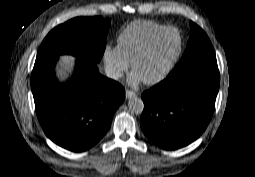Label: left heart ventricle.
<instances>
[{
  "mask_svg": "<svg viewBox=\"0 0 255 177\" xmlns=\"http://www.w3.org/2000/svg\"><path fill=\"white\" fill-rule=\"evenodd\" d=\"M179 48V36L169 31L160 36L152 45L147 55L141 59L134 71L143 79L150 80L159 75Z\"/></svg>",
  "mask_w": 255,
  "mask_h": 177,
  "instance_id": "1",
  "label": "left heart ventricle"
}]
</instances>
